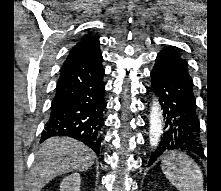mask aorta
Returning <instances> with one entry per match:
<instances>
[{
  "mask_svg": "<svg viewBox=\"0 0 221 191\" xmlns=\"http://www.w3.org/2000/svg\"><path fill=\"white\" fill-rule=\"evenodd\" d=\"M149 140L152 147H156L160 141L162 133V119L159 109V104L156 99H153L150 110L149 122Z\"/></svg>",
  "mask_w": 221,
  "mask_h": 191,
  "instance_id": "obj_1",
  "label": "aorta"
}]
</instances>
